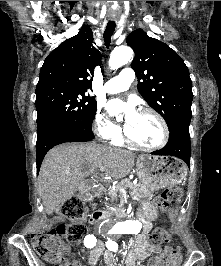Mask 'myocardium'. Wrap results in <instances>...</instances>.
Instances as JSON below:
<instances>
[{
	"label": "myocardium",
	"instance_id": "1",
	"mask_svg": "<svg viewBox=\"0 0 221 266\" xmlns=\"http://www.w3.org/2000/svg\"><path fill=\"white\" fill-rule=\"evenodd\" d=\"M139 113L150 114L158 121V123L161 127V130H162L161 139L154 145L146 146V145L140 144L137 141H135L129 135L126 128L124 127V129H123L124 140L130 146H132L136 149L142 150V151H154V150L162 148L167 143L168 138H169V128H168V125H167L165 119L156 110H154L152 108H143L139 111Z\"/></svg>",
	"mask_w": 221,
	"mask_h": 266
}]
</instances>
